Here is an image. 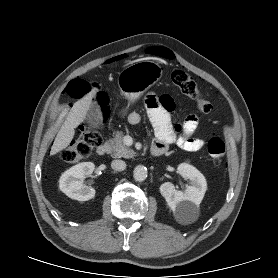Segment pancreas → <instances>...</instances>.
I'll return each instance as SVG.
<instances>
[{
	"mask_svg": "<svg viewBox=\"0 0 278 278\" xmlns=\"http://www.w3.org/2000/svg\"><path fill=\"white\" fill-rule=\"evenodd\" d=\"M124 134L123 132H117L115 137L110 140L111 149L110 152L113 153L115 157L118 158H132L135 153L133 150L128 148L123 142Z\"/></svg>",
	"mask_w": 278,
	"mask_h": 278,
	"instance_id": "1",
	"label": "pancreas"
}]
</instances>
